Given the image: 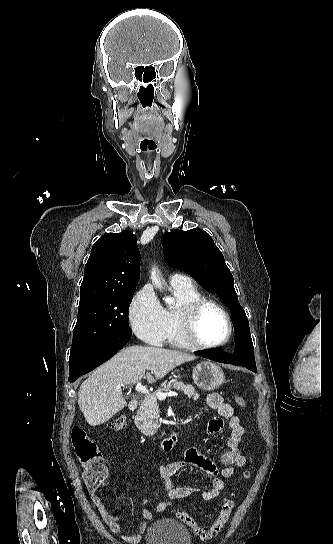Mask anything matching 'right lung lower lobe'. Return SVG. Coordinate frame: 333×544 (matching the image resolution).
I'll use <instances>...</instances> for the list:
<instances>
[{
    "mask_svg": "<svg viewBox=\"0 0 333 544\" xmlns=\"http://www.w3.org/2000/svg\"><path fill=\"white\" fill-rule=\"evenodd\" d=\"M132 333H121L109 338L89 351L82 359L69 364V381L92 371L115 355L131 338Z\"/></svg>",
    "mask_w": 333,
    "mask_h": 544,
    "instance_id": "obj_1",
    "label": "right lung lower lobe"
}]
</instances>
